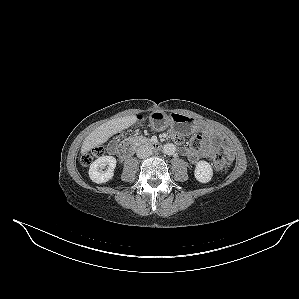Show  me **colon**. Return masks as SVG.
<instances>
[{
  "instance_id": "obj_1",
  "label": "colon",
  "mask_w": 299,
  "mask_h": 299,
  "mask_svg": "<svg viewBox=\"0 0 299 299\" xmlns=\"http://www.w3.org/2000/svg\"><path fill=\"white\" fill-rule=\"evenodd\" d=\"M190 146L191 148L195 150H200L203 147V141L201 136L196 135L193 136L190 140ZM103 154L102 148H94L91 151L84 154L81 158V162L83 165L87 166L92 163V161ZM213 166L216 171H224L226 169V160L225 158L218 152L215 153L213 158Z\"/></svg>"
}]
</instances>
